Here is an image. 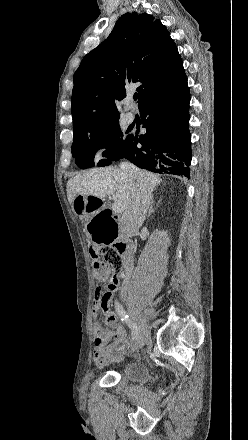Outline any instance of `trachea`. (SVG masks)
Returning a JSON list of instances; mask_svg holds the SVG:
<instances>
[{"instance_id": "trachea-1", "label": "trachea", "mask_w": 248, "mask_h": 440, "mask_svg": "<svg viewBox=\"0 0 248 440\" xmlns=\"http://www.w3.org/2000/svg\"><path fill=\"white\" fill-rule=\"evenodd\" d=\"M134 100H137V98H138V94L136 93V94H134Z\"/></svg>"}]
</instances>
